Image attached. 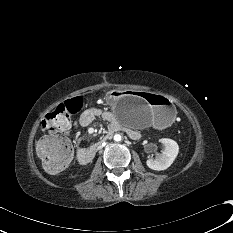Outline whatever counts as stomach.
<instances>
[{
	"label": "stomach",
	"instance_id": "1",
	"mask_svg": "<svg viewBox=\"0 0 233 233\" xmlns=\"http://www.w3.org/2000/svg\"><path fill=\"white\" fill-rule=\"evenodd\" d=\"M107 102L114 117L132 127L166 125L176 117L172 101L155 93L112 90L107 95Z\"/></svg>",
	"mask_w": 233,
	"mask_h": 233
}]
</instances>
